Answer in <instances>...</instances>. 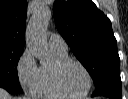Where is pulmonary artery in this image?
<instances>
[{
	"label": "pulmonary artery",
	"instance_id": "1",
	"mask_svg": "<svg viewBox=\"0 0 128 99\" xmlns=\"http://www.w3.org/2000/svg\"><path fill=\"white\" fill-rule=\"evenodd\" d=\"M48 45L51 50L67 53L68 46L65 40L58 34H51Z\"/></svg>",
	"mask_w": 128,
	"mask_h": 99
}]
</instances>
